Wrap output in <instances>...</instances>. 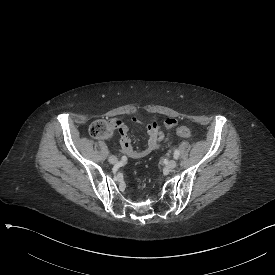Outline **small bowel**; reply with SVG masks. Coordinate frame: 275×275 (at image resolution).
Listing matches in <instances>:
<instances>
[{
	"mask_svg": "<svg viewBox=\"0 0 275 275\" xmlns=\"http://www.w3.org/2000/svg\"><path fill=\"white\" fill-rule=\"evenodd\" d=\"M132 123L138 122L137 116L131 117ZM113 124L116 127H119L117 129V134L121 137L120 138V144L121 148L123 149L124 153L129 156L132 159H140L143 158L153 151L157 150L165 141L164 134L157 130V128L160 127V122L155 120L152 122V126L149 125L147 127V141L146 145L143 148L137 149L133 147V143L131 142L130 136H128V129L123 125V120L120 117H115L113 119ZM176 125V121L173 119H168L165 121V126L167 129H172Z\"/></svg>",
	"mask_w": 275,
	"mask_h": 275,
	"instance_id": "c3829d8e",
	"label": "small bowel"
}]
</instances>
